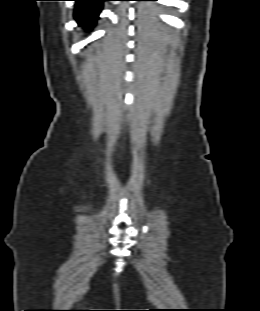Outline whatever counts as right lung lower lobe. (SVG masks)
Returning <instances> with one entry per match:
<instances>
[{"instance_id": "1", "label": "right lung lower lobe", "mask_w": 260, "mask_h": 311, "mask_svg": "<svg viewBox=\"0 0 260 311\" xmlns=\"http://www.w3.org/2000/svg\"><path fill=\"white\" fill-rule=\"evenodd\" d=\"M75 5V19L80 26L87 29L92 28L99 13L102 9L103 2L106 0H74Z\"/></svg>"}]
</instances>
